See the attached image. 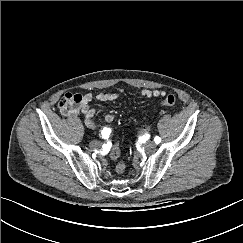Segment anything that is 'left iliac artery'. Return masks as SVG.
I'll return each mask as SVG.
<instances>
[{
    "label": "left iliac artery",
    "instance_id": "44dca946",
    "mask_svg": "<svg viewBox=\"0 0 243 243\" xmlns=\"http://www.w3.org/2000/svg\"><path fill=\"white\" fill-rule=\"evenodd\" d=\"M154 141H155L156 144H158V143L161 142V138H160L159 136H156V137L154 138Z\"/></svg>",
    "mask_w": 243,
    "mask_h": 243
}]
</instances>
